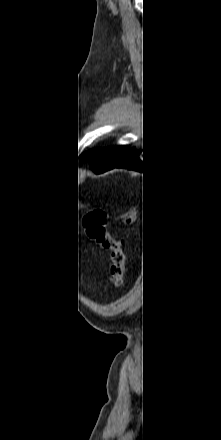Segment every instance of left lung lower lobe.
<instances>
[{"mask_svg": "<svg viewBox=\"0 0 221 440\" xmlns=\"http://www.w3.org/2000/svg\"><path fill=\"white\" fill-rule=\"evenodd\" d=\"M113 168H123L146 172V170L148 169V164L146 162V158L145 160L143 158L141 159L139 150L131 147L129 148L126 155L119 162L112 164L111 166H108L104 169H101L100 171H98V173H103Z\"/></svg>", "mask_w": 221, "mask_h": 440, "instance_id": "0a47b994", "label": "left lung lower lobe"}]
</instances>
